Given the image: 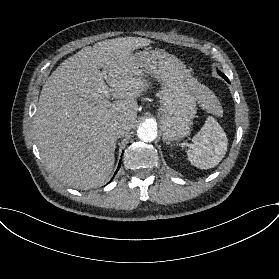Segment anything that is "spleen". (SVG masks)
I'll return each instance as SVG.
<instances>
[{
	"label": "spleen",
	"mask_w": 279,
	"mask_h": 279,
	"mask_svg": "<svg viewBox=\"0 0 279 279\" xmlns=\"http://www.w3.org/2000/svg\"><path fill=\"white\" fill-rule=\"evenodd\" d=\"M197 101L208 113L216 117L223 116L221 104L210 90L202 87V93ZM226 150L225 132L212 117H208L198 133L192 137L186 154L188 161L195 167L209 169L222 160Z\"/></svg>",
	"instance_id": "obj_1"
}]
</instances>
